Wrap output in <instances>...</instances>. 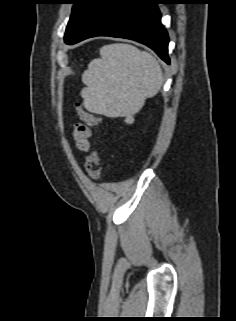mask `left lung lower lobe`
I'll return each instance as SVG.
<instances>
[{
  "mask_svg": "<svg viewBox=\"0 0 236 321\" xmlns=\"http://www.w3.org/2000/svg\"><path fill=\"white\" fill-rule=\"evenodd\" d=\"M162 0H95L79 30L66 44L95 36L135 40L153 49L167 64L168 34L157 4Z\"/></svg>",
  "mask_w": 236,
  "mask_h": 321,
  "instance_id": "left-lung-lower-lobe-1",
  "label": "left lung lower lobe"
}]
</instances>
